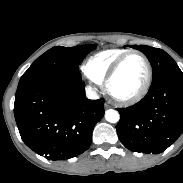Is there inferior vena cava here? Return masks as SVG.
Here are the masks:
<instances>
[{"mask_svg":"<svg viewBox=\"0 0 183 183\" xmlns=\"http://www.w3.org/2000/svg\"><path fill=\"white\" fill-rule=\"evenodd\" d=\"M86 97H87L88 99H92V100L98 99V98H99V96H98V94L96 93V91L93 90V88H91V87H88V88L86 89Z\"/></svg>","mask_w":183,"mask_h":183,"instance_id":"602c4592","label":"inferior vena cava"}]
</instances>
